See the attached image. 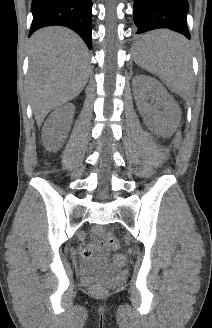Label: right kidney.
Returning <instances> with one entry per match:
<instances>
[{"label":"right kidney","mask_w":212,"mask_h":328,"mask_svg":"<svg viewBox=\"0 0 212 328\" xmlns=\"http://www.w3.org/2000/svg\"><path fill=\"white\" fill-rule=\"evenodd\" d=\"M74 113L75 106L72 103H68L54 110L44 124L42 130L43 137L55 134L60 137L67 135Z\"/></svg>","instance_id":"right-kidney-1"}]
</instances>
